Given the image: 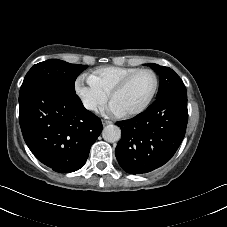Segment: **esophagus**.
I'll use <instances>...</instances> for the list:
<instances>
[{"mask_svg": "<svg viewBox=\"0 0 227 227\" xmlns=\"http://www.w3.org/2000/svg\"><path fill=\"white\" fill-rule=\"evenodd\" d=\"M103 125L106 126V125H109V124H112V121L111 120H103Z\"/></svg>", "mask_w": 227, "mask_h": 227, "instance_id": "obj_1", "label": "esophagus"}]
</instances>
